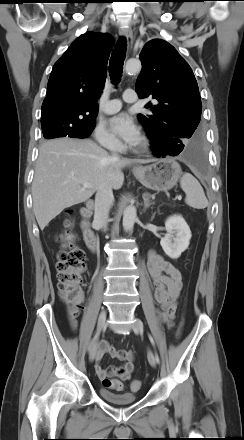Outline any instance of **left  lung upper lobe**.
I'll return each mask as SVG.
<instances>
[{
    "label": "left lung upper lobe",
    "mask_w": 244,
    "mask_h": 440,
    "mask_svg": "<svg viewBox=\"0 0 244 440\" xmlns=\"http://www.w3.org/2000/svg\"><path fill=\"white\" fill-rule=\"evenodd\" d=\"M142 70L136 81L140 98L152 96L146 105L151 115H138L147 136L165 149L184 146L195 139L202 104L197 81L188 63L164 40L153 39L141 53Z\"/></svg>",
    "instance_id": "1"
}]
</instances>
